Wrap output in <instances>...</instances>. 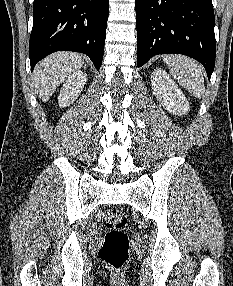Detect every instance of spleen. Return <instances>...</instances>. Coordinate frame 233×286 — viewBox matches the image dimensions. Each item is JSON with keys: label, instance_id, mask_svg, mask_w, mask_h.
<instances>
[{"label": "spleen", "instance_id": "obj_1", "mask_svg": "<svg viewBox=\"0 0 233 286\" xmlns=\"http://www.w3.org/2000/svg\"><path fill=\"white\" fill-rule=\"evenodd\" d=\"M163 62L182 87L196 98L203 96L205 87L201 64L187 56L177 54L164 55Z\"/></svg>", "mask_w": 233, "mask_h": 286}]
</instances>
